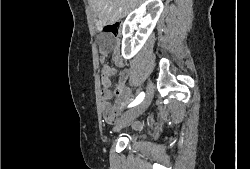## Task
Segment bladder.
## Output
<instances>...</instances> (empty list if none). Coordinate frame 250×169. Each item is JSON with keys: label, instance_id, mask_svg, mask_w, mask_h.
<instances>
[{"label": "bladder", "instance_id": "31cf9c89", "mask_svg": "<svg viewBox=\"0 0 250 169\" xmlns=\"http://www.w3.org/2000/svg\"><path fill=\"white\" fill-rule=\"evenodd\" d=\"M145 139V133L134 132L129 136V140L132 144H140Z\"/></svg>", "mask_w": 250, "mask_h": 169}]
</instances>
